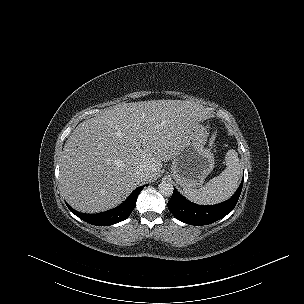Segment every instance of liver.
Wrapping results in <instances>:
<instances>
[{"instance_id":"1","label":"liver","mask_w":304,"mask_h":304,"mask_svg":"<svg viewBox=\"0 0 304 304\" xmlns=\"http://www.w3.org/2000/svg\"><path fill=\"white\" fill-rule=\"evenodd\" d=\"M209 118L199 104L181 100L120 103L81 122L60 159V185L76 210L98 213L122 203L141 183L156 178L192 127ZM148 172L145 181L137 170Z\"/></svg>"}]
</instances>
